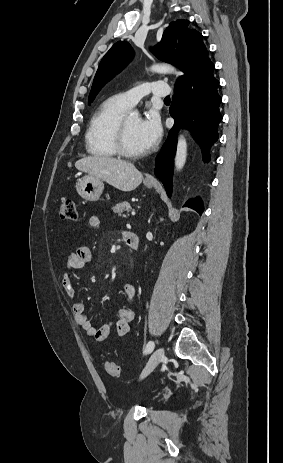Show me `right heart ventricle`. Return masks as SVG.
Listing matches in <instances>:
<instances>
[{"instance_id":"obj_1","label":"right heart ventricle","mask_w":283,"mask_h":463,"mask_svg":"<svg viewBox=\"0 0 283 463\" xmlns=\"http://www.w3.org/2000/svg\"><path fill=\"white\" fill-rule=\"evenodd\" d=\"M128 110L118 96L103 101L93 113L85 135V146L89 154L110 158L117 154L115 131L117 124Z\"/></svg>"}]
</instances>
